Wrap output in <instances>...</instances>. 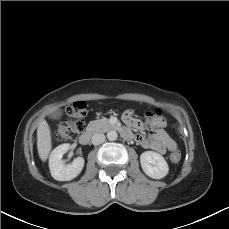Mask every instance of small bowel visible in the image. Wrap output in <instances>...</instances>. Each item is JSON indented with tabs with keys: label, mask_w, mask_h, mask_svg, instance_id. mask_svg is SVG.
Returning <instances> with one entry per match:
<instances>
[{
	"label": "small bowel",
	"mask_w": 229,
	"mask_h": 229,
	"mask_svg": "<svg viewBox=\"0 0 229 229\" xmlns=\"http://www.w3.org/2000/svg\"><path fill=\"white\" fill-rule=\"evenodd\" d=\"M147 119L153 121V129L148 137L141 134L133 135V139L145 149L153 150L159 154H164L167 149H170L172 144L176 143L171 139L169 134L164 129L167 125L166 120L159 114H146ZM123 122L129 129H139L142 126L140 120L135 118L134 111L126 110L122 115Z\"/></svg>",
	"instance_id": "obj_1"
}]
</instances>
